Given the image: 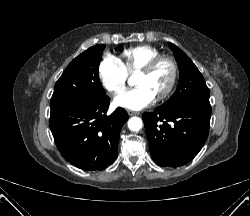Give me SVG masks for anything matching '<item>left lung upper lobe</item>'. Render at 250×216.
Here are the masks:
<instances>
[{"instance_id":"obj_1","label":"left lung upper lobe","mask_w":250,"mask_h":216,"mask_svg":"<svg viewBox=\"0 0 250 216\" xmlns=\"http://www.w3.org/2000/svg\"><path fill=\"white\" fill-rule=\"evenodd\" d=\"M177 60L180 78L173 96L160 106L165 111L195 106L211 111L210 92L205 80L191 59L177 46L169 43Z\"/></svg>"}]
</instances>
